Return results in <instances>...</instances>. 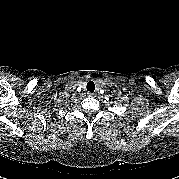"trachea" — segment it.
Wrapping results in <instances>:
<instances>
[{
	"label": "trachea",
	"mask_w": 179,
	"mask_h": 179,
	"mask_svg": "<svg viewBox=\"0 0 179 179\" xmlns=\"http://www.w3.org/2000/svg\"><path fill=\"white\" fill-rule=\"evenodd\" d=\"M87 91H89V92H91V93H93L94 92V90H95V84H94V82L93 81H89L88 83H87Z\"/></svg>",
	"instance_id": "obj_1"
}]
</instances>
